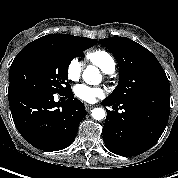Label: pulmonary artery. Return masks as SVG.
Segmentation results:
<instances>
[{
	"instance_id": "obj_1",
	"label": "pulmonary artery",
	"mask_w": 178,
	"mask_h": 178,
	"mask_svg": "<svg viewBox=\"0 0 178 178\" xmlns=\"http://www.w3.org/2000/svg\"><path fill=\"white\" fill-rule=\"evenodd\" d=\"M114 72V70H111L109 73H107V74H111V73H113Z\"/></svg>"
}]
</instances>
